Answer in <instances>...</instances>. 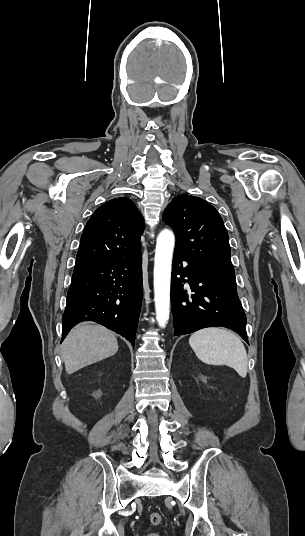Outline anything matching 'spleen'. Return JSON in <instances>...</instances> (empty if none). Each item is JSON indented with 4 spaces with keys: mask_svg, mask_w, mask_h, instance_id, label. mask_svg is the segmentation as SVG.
<instances>
[{
    "mask_svg": "<svg viewBox=\"0 0 305 536\" xmlns=\"http://www.w3.org/2000/svg\"><path fill=\"white\" fill-rule=\"evenodd\" d=\"M189 344L197 358L209 366H229L246 378L248 358L238 336L225 328H204L194 332Z\"/></svg>",
    "mask_w": 305,
    "mask_h": 536,
    "instance_id": "3e777b00",
    "label": "spleen"
}]
</instances>
